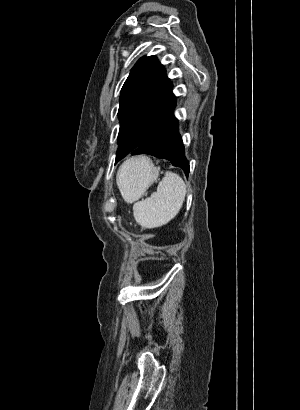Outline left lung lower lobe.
Segmentation results:
<instances>
[{"mask_svg": "<svg viewBox=\"0 0 300 410\" xmlns=\"http://www.w3.org/2000/svg\"><path fill=\"white\" fill-rule=\"evenodd\" d=\"M148 154L169 160L189 174V162L184 154V145L178 132V120L173 111L153 131L148 140L133 153Z\"/></svg>", "mask_w": 300, "mask_h": 410, "instance_id": "left-lung-lower-lobe-1", "label": "left lung lower lobe"}]
</instances>
